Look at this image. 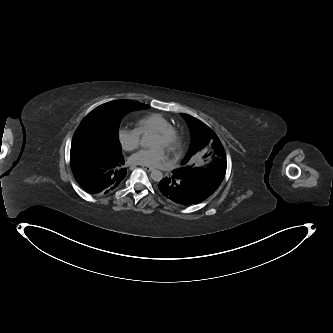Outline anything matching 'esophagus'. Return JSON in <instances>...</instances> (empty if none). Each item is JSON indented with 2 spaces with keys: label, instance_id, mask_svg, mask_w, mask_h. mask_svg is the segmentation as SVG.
<instances>
[{
  "label": "esophagus",
  "instance_id": "esophagus-1",
  "mask_svg": "<svg viewBox=\"0 0 333 333\" xmlns=\"http://www.w3.org/2000/svg\"><path fill=\"white\" fill-rule=\"evenodd\" d=\"M142 168L146 171H149V172L154 170V168H152L150 166H142Z\"/></svg>",
  "mask_w": 333,
  "mask_h": 333
}]
</instances>
